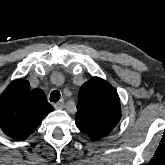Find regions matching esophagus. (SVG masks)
<instances>
[{
    "label": "esophagus",
    "mask_w": 165,
    "mask_h": 165,
    "mask_svg": "<svg viewBox=\"0 0 165 165\" xmlns=\"http://www.w3.org/2000/svg\"><path fill=\"white\" fill-rule=\"evenodd\" d=\"M55 109H63L64 108V103L63 102H58L54 104Z\"/></svg>",
    "instance_id": "1"
}]
</instances>
